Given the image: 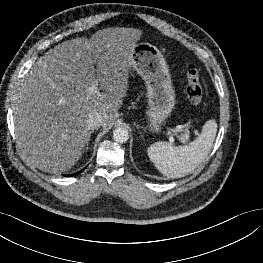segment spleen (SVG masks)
I'll use <instances>...</instances> for the list:
<instances>
[{"label": "spleen", "instance_id": "1", "mask_svg": "<svg viewBox=\"0 0 263 263\" xmlns=\"http://www.w3.org/2000/svg\"><path fill=\"white\" fill-rule=\"evenodd\" d=\"M216 133V121L208 120L203 125L201 134L190 144L173 146L167 142H156L148 148V157L163 175L169 178L184 177L208 156Z\"/></svg>", "mask_w": 263, "mask_h": 263}]
</instances>
